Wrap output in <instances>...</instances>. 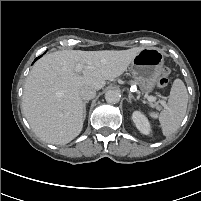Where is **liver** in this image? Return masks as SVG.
<instances>
[{
	"label": "liver",
	"instance_id": "obj_1",
	"mask_svg": "<svg viewBox=\"0 0 201 201\" xmlns=\"http://www.w3.org/2000/svg\"><path fill=\"white\" fill-rule=\"evenodd\" d=\"M142 48L128 50H61L39 59L28 75L22 112L44 142L67 144L83 128L84 102L79 90L102 89L106 80L121 76ZM83 66L82 75L75 71Z\"/></svg>",
	"mask_w": 201,
	"mask_h": 201
}]
</instances>
